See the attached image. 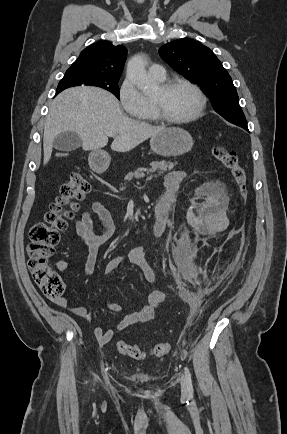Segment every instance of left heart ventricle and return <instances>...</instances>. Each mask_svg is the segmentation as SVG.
Returning <instances> with one entry per match:
<instances>
[{
  "label": "left heart ventricle",
  "instance_id": "obj_1",
  "mask_svg": "<svg viewBox=\"0 0 287 434\" xmlns=\"http://www.w3.org/2000/svg\"><path fill=\"white\" fill-rule=\"evenodd\" d=\"M152 99L161 105L169 117L175 119L191 115L198 105L195 93L185 86H177L167 91L159 87Z\"/></svg>",
  "mask_w": 287,
  "mask_h": 434
}]
</instances>
